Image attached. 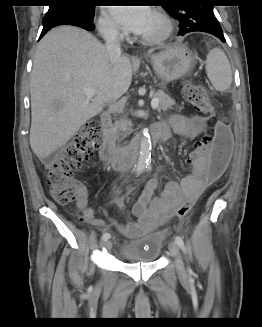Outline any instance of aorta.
<instances>
[{"instance_id":"obj_1","label":"aorta","mask_w":262,"mask_h":327,"mask_svg":"<svg viewBox=\"0 0 262 327\" xmlns=\"http://www.w3.org/2000/svg\"><path fill=\"white\" fill-rule=\"evenodd\" d=\"M150 155H151V141L148 133L144 132V136L140 141L138 162L135 166L136 173H141L148 167Z\"/></svg>"}]
</instances>
